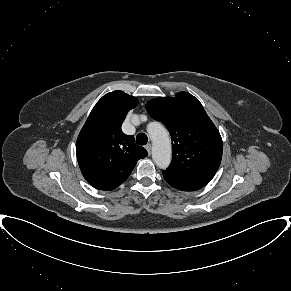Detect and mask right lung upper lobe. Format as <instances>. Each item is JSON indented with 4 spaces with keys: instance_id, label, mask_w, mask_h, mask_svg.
<instances>
[{
    "instance_id": "1",
    "label": "right lung upper lobe",
    "mask_w": 291,
    "mask_h": 291,
    "mask_svg": "<svg viewBox=\"0 0 291 291\" xmlns=\"http://www.w3.org/2000/svg\"><path fill=\"white\" fill-rule=\"evenodd\" d=\"M138 100L122 91L104 95L91 111L77 139L79 167L96 189L113 190L123 183L148 152L121 130L122 122Z\"/></svg>"
}]
</instances>
